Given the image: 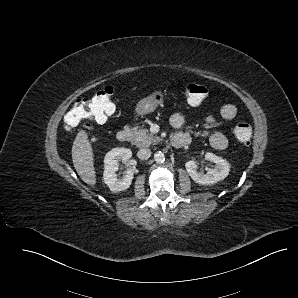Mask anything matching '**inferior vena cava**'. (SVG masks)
I'll return each mask as SVG.
<instances>
[{"label": "inferior vena cava", "mask_w": 298, "mask_h": 298, "mask_svg": "<svg viewBox=\"0 0 298 298\" xmlns=\"http://www.w3.org/2000/svg\"><path fill=\"white\" fill-rule=\"evenodd\" d=\"M137 156L142 160L148 159L151 156V150L148 148H142L138 151Z\"/></svg>", "instance_id": "1"}]
</instances>
